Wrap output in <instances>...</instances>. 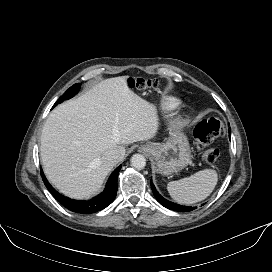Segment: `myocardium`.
Returning a JSON list of instances; mask_svg holds the SVG:
<instances>
[{
	"label": "myocardium",
	"instance_id": "obj_1",
	"mask_svg": "<svg viewBox=\"0 0 272 272\" xmlns=\"http://www.w3.org/2000/svg\"><path fill=\"white\" fill-rule=\"evenodd\" d=\"M183 119V117L182 116H179V120L181 121Z\"/></svg>",
	"mask_w": 272,
	"mask_h": 272
}]
</instances>
